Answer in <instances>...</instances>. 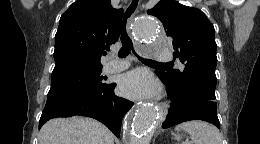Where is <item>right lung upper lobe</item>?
<instances>
[{
	"label": "right lung upper lobe",
	"instance_id": "right-lung-upper-lobe-1",
	"mask_svg": "<svg viewBox=\"0 0 260 144\" xmlns=\"http://www.w3.org/2000/svg\"><path fill=\"white\" fill-rule=\"evenodd\" d=\"M122 9L110 0H78L61 16L55 35L54 70L72 65L102 66L101 55L119 38Z\"/></svg>",
	"mask_w": 260,
	"mask_h": 144
}]
</instances>
